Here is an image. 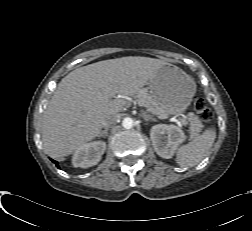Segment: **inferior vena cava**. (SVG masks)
<instances>
[{"instance_id":"obj_1","label":"inferior vena cava","mask_w":252,"mask_h":231,"mask_svg":"<svg viewBox=\"0 0 252 231\" xmlns=\"http://www.w3.org/2000/svg\"><path fill=\"white\" fill-rule=\"evenodd\" d=\"M118 119V114L109 115L103 122V127L108 128L110 125L114 124Z\"/></svg>"}]
</instances>
